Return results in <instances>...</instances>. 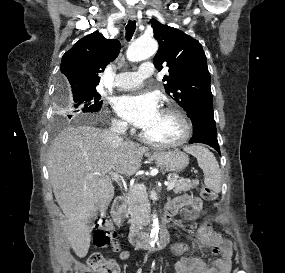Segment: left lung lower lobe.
Segmentation results:
<instances>
[{
	"label": "left lung lower lobe",
	"instance_id": "obj_1",
	"mask_svg": "<svg viewBox=\"0 0 285 273\" xmlns=\"http://www.w3.org/2000/svg\"><path fill=\"white\" fill-rule=\"evenodd\" d=\"M189 117L193 124V137L189 143H204L220 153L213 109L194 111Z\"/></svg>",
	"mask_w": 285,
	"mask_h": 273
}]
</instances>
